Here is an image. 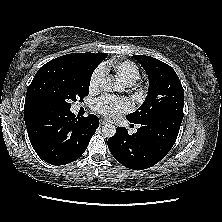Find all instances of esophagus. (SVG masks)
Wrapping results in <instances>:
<instances>
[{"mask_svg": "<svg viewBox=\"0 0 222 222\" xmlns=\"http://www.w3.org/2000/svg\"><path fill=\"white\" fill-rule=\"evenodd\" d=\"M107 123V121L105 120H100V125H105Z\"/></svg>", "mask_w": 222, "mask_h": 222, "instance_id": "34e87169", "label": "esophagus"}]
</instances>
